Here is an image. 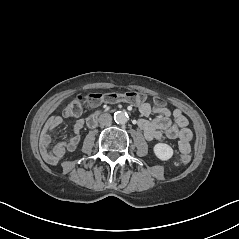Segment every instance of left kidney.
I'll return each instance as SVG.
<instances>
[{
  "label": "left kidney",
  "instance_id": "5707ae66",
  "mask_svg": "<svg viewBox=\"0 0 239 239\" xmlns=\"http://www.w3.org/2000/svg\"><path fill=\"white\" fill-rule=\"evenodd\" d=\"M155 155L163 161L170 159L173 156V149L165 143H158L154 146Z\"/></svg>",
  "mask_w": 239,
  "mask_h": 239
}]
</instances>
